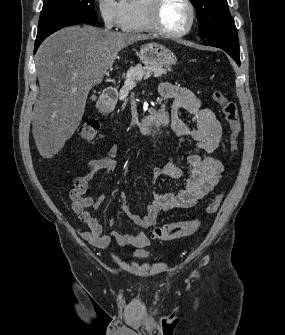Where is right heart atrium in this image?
Wrapping results in <instances>:
<instances>
[{"mask_svg":"<svg viewBox=\"0 0 285 335\" xmlns=\"http://www.w3.org/2000/svg\"><path fill=\"white\" fill-rule=\"evenodd\" d=\"M100 14L104 26L108 29L121 27L125 20L124 4L120 1H101Z\"/></svg>","mask_w":285,"mask_h":335,"instance_id":"right-heart-atrium-1","label":"right heart atrium"}]
</instances>
